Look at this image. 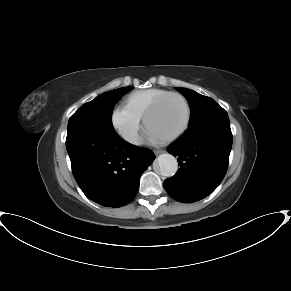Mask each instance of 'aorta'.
Returning a JSON list of instances; mask_svg holds the SVG:
<instances>
[{
  "mask_svg": "<svg viewBox=\"0 0 291 291\" xmlns=\"http://www.w3.org/2000/svg\"><path fill=\"white\" fill-rule=\"evenodd\" d=\"M162 176L172 177L178 170V162L171 154H162L157 159Z\"/></svg>",
  "mask_w": 291,
  "mask_h": 291,
  "instance_id": "obj_1",
  "label": "aorta"
}]
</instances>
